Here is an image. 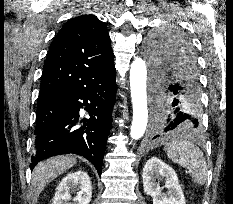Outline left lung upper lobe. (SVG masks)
Masks as SVG:
<instances>
[{"mask_svg":"<svg viewBox=\"0 0 233 204\" xmlns=\"http://www.w3.org/2000/svg\"><path fill=\"white\" fill-rule=\"evenodd\" d=\"M146 54L153 72L170 65V59L174 55L184 54L196 61L190 41L183 33L173 28L152 34L147 40Z\"/></svg>","mask_w":233,"mask_h":204,"instance_id":"obj_1","label":"left lung upper lobe"}]
</instances>
